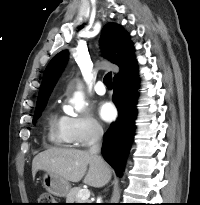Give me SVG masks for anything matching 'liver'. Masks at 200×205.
I'll list each match as a JSON object with an SVG mask.
<instances>
[{"instance_id":"6515ba94","label":"liver","mask_w":200,"mask_h":205,"mask_svg":"<svg viewBox=\"0 0 200 205\" xmlns=\"http://www.w3.org/2000/svg\"><path fill=\"white\" fill-rule=\"evenodd\" d=\"M89 166V169H88ZM44 170L63 177L67 181L83 182L99 188L111 179V168L100 157L87 150L50 148L36 155L32 161V175Z\"/></svg>"}]
</instances>
